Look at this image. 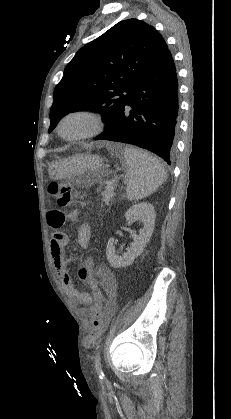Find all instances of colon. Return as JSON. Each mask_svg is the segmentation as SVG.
<instances>
[{"label":"colon","instance_id":"1","mask_svg":"<svg viewBox=\"0 0 231 419\" xmlns=\"http://www.w3.org/2000/svg\"><path fill=\"white\" fill-rule=\"evenodd\" d=\"M49 192L54 196L57 204L61 207H66L72 204L74 197L73 192L70 187L60 182H52L48 186ZM58 226L62 227V222L59 221ZM93 262V257L90 254H86L83 257L82 263L78 264L76 279L84 282L86 287L91 288L93 291L92 296L94 299H101L103 293L101 290H96V287L93 286L94 274L90 273L91 263ZM91 317H92V332L90 334V340H94L99 337L104 329L103 313L101 304L97 301L91 308Z\"/></svg>","mask_w":231,"mask_h":419}]
</instances>
